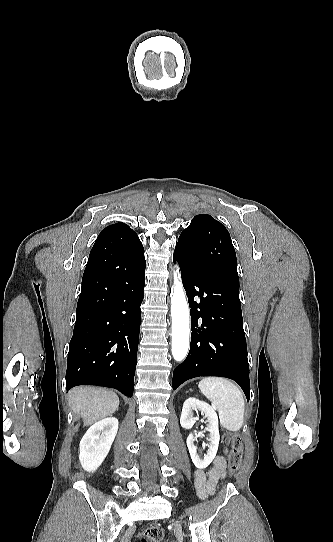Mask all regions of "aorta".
Listing matches in <instances>:
<instances>
[{
  "label": "aorta",
  "instance_id": "1",
  "mask_svg": "<svg viewBox=\"0 0 333 542\" xmlns=\"http://www.w3.org/2000/svg\"><path fill=\"white\" fill-rule=\"evenodd\" d=\"M172 346L175 362H183L189 352V308L177 272H174L173 296L171 298Z\"/></svg>",
  "mask_w": 333,
  "mask_h": 542
}]
</instances>
